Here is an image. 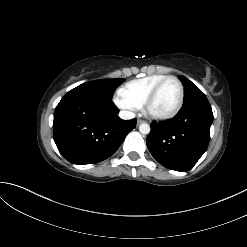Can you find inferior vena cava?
<instances>
[{
  "label": "inferior vena cava",
  "mask_w": 247,
  "mask_h": 247,
  "mask_svg": "<svg viewBox=\"0 0 247 247\" xmlns=\"http://www.w3.org/2000/svg\"><path fill=\"white\" fill-rule=\"evenodd\" d=\"M119 117L124 120H129V119H133L135 117V114L131 111L123 110L120 111Z\"/></svg>",
  "instance_id": "1"
}]
</instances>
